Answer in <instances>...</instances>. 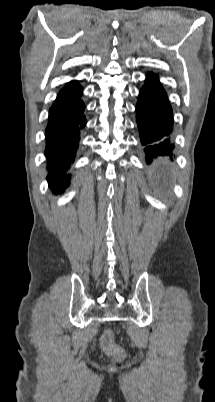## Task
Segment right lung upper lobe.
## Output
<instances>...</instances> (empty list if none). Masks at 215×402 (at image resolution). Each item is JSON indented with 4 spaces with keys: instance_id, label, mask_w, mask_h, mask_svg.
Here are the masks:
<instances>
[{
    "instance_id": "obj_1",
    "label": "right lung upper lobe",
    "mask_w": 215,
    "mask_h": 402,
    "mask_svg": "<svg viewBox=\"0 0 215 402\" xmlns=\"http://www.w3.org/2000/svg\"><path fill=\"white\" fill-rule=\"evenodd\" d=\"M74 82H75V81H71V82L67 83L66 86H69V85L73 84ZM66 86H65V87H66Z\"/></svg>"
}]
</instances>
